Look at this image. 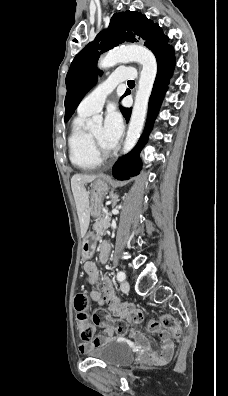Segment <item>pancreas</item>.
<instances>
[{"mask_svg": "<svg viewBox=\"0 0 228 396\" xmlns=\"http://www.w3.org/2000/svg\"><path fill=\"white\" fill-rule=\"evenodd\" d=\"M106 213L111 212V209L106 208L105 209ZM109 219H111V216L109 215H103L102 217H99L100 221H97L95 223V230L98 232L96 234H98L97 236H99L97 239L100 240V236H102L101 234L104 232V229H106V227L109 226Z\"/></svg>", "mask_w": 228, "mask_h": 396, "instance_id": "obj_1", "label": "pancreas"}]
</instances>
